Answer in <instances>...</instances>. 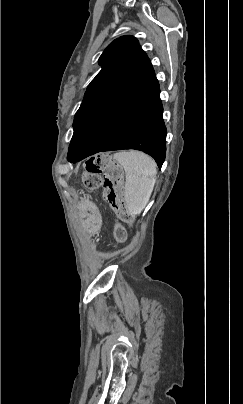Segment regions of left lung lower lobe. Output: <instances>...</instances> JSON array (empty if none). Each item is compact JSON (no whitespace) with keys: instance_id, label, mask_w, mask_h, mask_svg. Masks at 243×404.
<instances>
[{"instance_id":"obj_1","label":"left lung lower lobe","mask_w":243,"mask_h":404,"mask_svg":"<svg viewBox=\"0 0 243 404\" xmlns=\"http://www.w3.org/2000/svg\"><path fill=\"white\" fill-rule=\"evenodd\" d=\"M155 75L99 116L77 153L78 162L102 151L136 149L152 156L159 168L165 160L166 127Z\"/></svg>"}]
</instances>
